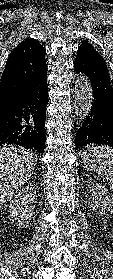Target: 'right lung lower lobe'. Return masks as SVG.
Segmentation results:
<instances>
[{
  "instance_id": "right-lung-lower-lobe-1",
  "label": "right lung lower lobe",
  "mask_w": 113,
  "mask_h": 279,
  "mask_svg": "<svg viewBox=\"0 0 113 279\" xmlns=\"http://www.w3.org/2000/svg\"><path fill=\"white\" fill-rule=\"evenodd\" d=\"M47 101L46 70L4 109L0 117V145L16 144L43 154Z\"/></svg>"
}]
</instances>
